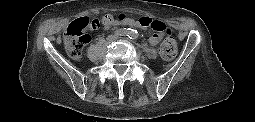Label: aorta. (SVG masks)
I'll list each match as a JSON object with an SVG mask.
<instances>
[{
  "label": "aorta",
  "mask_w": 255,
  "mask_h": 122,
  "mask_svg": "<svg viewBox=\"0 0 255 122\" xmlns=\"http://www.w3.org/2000/svg\"><path fill=\"white\" fill-rule=\"evenodd\" d=\"M130 35H131L132 37H136V36H137V33L133 31V32L130 33Z\"/></svg>",
  "instance_id": "aorta-1"
}]
</instances>
